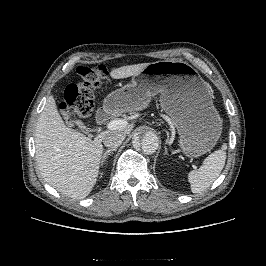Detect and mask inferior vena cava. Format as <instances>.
Instances as JSON below:
<instances>
[{
	"instance_id": "inferior-vena-cava-1",
	"label": "inferior vena cava",
	"mask_w": 266,
	"mask_h": 266,
	"mask_svg": "<svg viewBox=\"0 0 266 266\" xmlns=\"http://www.w3.org/2000/svg\"><path fill=\"white\" fill-rule=\"evenodd\" d=\"M126 135L117 131L107 133L103 138V143L108 148H117L119 147Z\"/></svg>"
}]
</instances>
